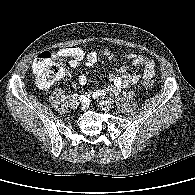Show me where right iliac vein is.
<instances>
[{
    "instance_id": "1",
    "label": "right iliac vein",
    "mask_w": 195,
    "mask_h": 195,
    "mask_svg": "<svg viewBox=\"0 0 195 195\" xmlns=\"http://www.w3.org/2000/svg\"><path fill=\"white\" fill-rule=\"evenodd\" d=\"M78 105H79V101H78L77 99H73V100L71 101V103H70V106H71L72 108H77Z\"/></svg>"
}]
</instances>
